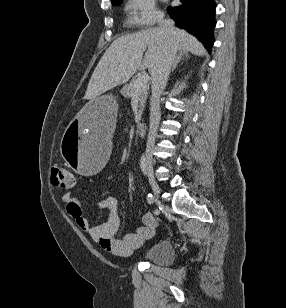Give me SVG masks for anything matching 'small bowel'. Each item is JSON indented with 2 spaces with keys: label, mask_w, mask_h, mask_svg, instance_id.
I'll return each mask as SVG.
<instances>
[{
  "label": "small bowel",
  "mask_w": 286,
  "mask_h": 308,
  "mask_svg": "<svg viewBox=\"0 0 286 308\" xmlns=\"http://www.w3.org/2000/svg\"><path fill=\"white\" fill-rule=\"evenodd\" d=\"M66 213L74 220L77 227L85 232L102 249L118 256H127L140 247L144 241L152 238L158 226V221L151 213H146L142 217V226L134 232L125 234L121 238H116L120 218L117 212L116 200L113 197H106L97 202L95 208L107 211V219L100 225L91 226L89 219L85 216L84 205L72 194L63 196Z\"/></svg>",
  "instance_id": "1"
}]
</instances>
